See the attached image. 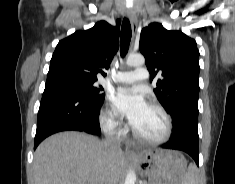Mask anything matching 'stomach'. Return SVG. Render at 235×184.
I'll return each instance as SVG.
<instances>
[{
	"mask_svg": "<svg viewBox=\"0 0 235 184\" xmlns=\"http://www.w3.org/2000/svg\"><path fill=\"white\" fill-rule=\"evenodd\" d=\"M134 162L141 176L148 178L147 184H182L187 170V160L176 150H156L138 154Z\"/></svg>",
	"mask_w": 235,
	"mask_h": 184,
	"instance_id": "1",
	"label": "stomach"
}]
</instances>
